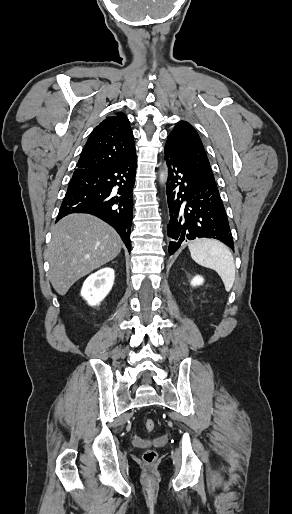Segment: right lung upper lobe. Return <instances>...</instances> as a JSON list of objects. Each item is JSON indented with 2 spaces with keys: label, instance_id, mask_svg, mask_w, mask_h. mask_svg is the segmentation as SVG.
<instances>
[{
  "label": "right lung upper lobe",
  "instance_id": "right-lung-upper-lobe-1",
  "mask_svg": "<svg viewBox=\"0 0 292 514\" xmlns=\"http://www.w3.org/2000/svg\"><path fill=\"white\" fill-rule=\"evenodd\" d=\"M136 155L129 120L122 112L103 120L91 133L76 170L113 166Z\"/></svg>",
  "mask_w": 292,
  "mask_h": 514
}]
</instances>
